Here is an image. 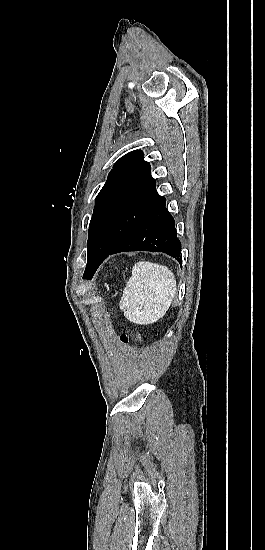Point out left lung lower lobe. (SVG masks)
<instances>
[{
    "label": "left lung lower lobe",
    "instance_id": "obj_1",
    "mask_svg": "<svg viewBox=\"0 0 265 550\" xmlns=\"http://www.w3.org/2000/svg\"><path fill=\"white\" fill-rule=\"evenodd\" d=\"M165 198L141 218L114 246L105 253L91 251L83 275L91 279L100 264L109 256L124 251L164 252L181 264L180 241L176 235L173 217L165 208Z\"/></svg>",
    "mask_w": 265,
    "mask_h": 550
}]
</instances>
